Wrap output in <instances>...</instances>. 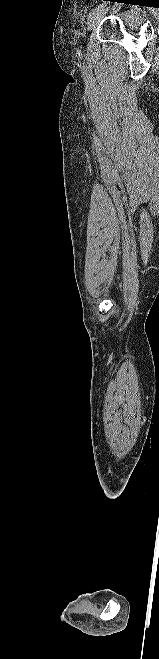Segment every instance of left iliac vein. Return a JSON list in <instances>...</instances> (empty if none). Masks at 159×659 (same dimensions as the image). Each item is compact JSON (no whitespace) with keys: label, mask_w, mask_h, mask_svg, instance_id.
I'll return each instance as SVG.
<instances>
[{"label":"left iliac vein","mask_w":159,"mask_h":659,"mask_svg":"<svg viewBox=\"0 0 159 659\" xmlns=\"http://www.w3.org/2000/svg\"><path fill=\"white\" fill-rule=\"evenodd\" d=\"M106 12H107L106 9L103 7L100 10H98L97 12H95L94 14H92L89 17V20H88V23H87V30L91 31V30L95 29L99 25V23L101 22L102 18L105 16Z\"/></svg>","instance_id":"left-iliac-vein-1"}]
</instances>
